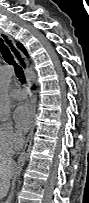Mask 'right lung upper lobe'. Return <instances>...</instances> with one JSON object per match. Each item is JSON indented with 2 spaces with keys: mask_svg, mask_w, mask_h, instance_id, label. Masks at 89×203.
Listing matches in <instances>:
<instances>
[{
  "mask_svg": "<svg viewBox=\"0 0 89 203\" xmlns=\"http://www.w3.org/2000/svg\"><path fill=\"white\" fill-rule=\"evenodd\" d=\"M17 46H18L19 49L22 50V52H23L25 55H27V51H26L25 48L22 46V44L17 43Z\"/></svg>",
  "mask_w": 89,
  "mask_h": 203,
  "instance_id": "right-lung-upper-lobe-1",
  "label": "right lung upper lobe"
}]
</instances>
